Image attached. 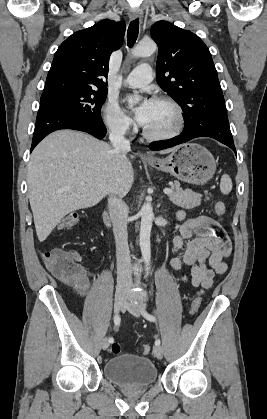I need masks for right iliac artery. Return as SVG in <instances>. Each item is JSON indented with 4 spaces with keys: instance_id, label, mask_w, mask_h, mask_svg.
Masks as SVG:
<instances>
[{
    "instance_id": "1",
    "label": "right iliac artery",
    "mask_w": 267,
    "mask_h": 419,
    "mask_svg": "<svg viewBox=\"0 0 267 419\" xmlns=\"http://www.w3.org/2000/svg\"><path fill=\"white\" fill-rule=\"evenodd\" d=\"M120 321H121V318H120V315L119 314H116L115 316H114V324L116 325V326H118L119 324H120ZM108 341L111 343V342H113V338L112 337H110L109 339H108Z\"/></svg>"
}]
</instances>
